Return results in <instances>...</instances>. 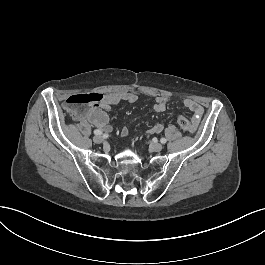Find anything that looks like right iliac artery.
<instances>
[{
	"label": "right iliac artery",
	"mask_w": 265,
	"mask_h": 265,
	"mask_svg": "<svg viewBox=\"0 0 265 265\" xmlns=\"http://www.w3.org/2000/svg\"><path fill=\"white\" fill-rule=\"evenodd\" d=\"M94 134L95 135H101L102 134V131L101 130H98V129L97 130H94Z\"/></svg>",
	"instance_id": "82829eb1"
}]
</instances>
